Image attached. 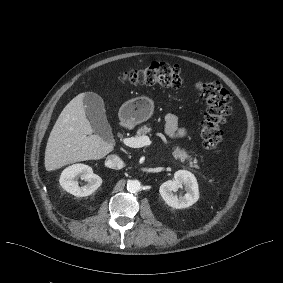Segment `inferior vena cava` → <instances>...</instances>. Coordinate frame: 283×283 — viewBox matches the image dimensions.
Returning a JSON list of instances; mask_svg holds the SVG:
<instances>
[{"mask_svg":"<svg viewBox=\"0 0 283 283\" xmlns=\"http://www.w3.org/2000/svg\"><path fill=\"white\" fill-rule=\"evenodd\" d=\"M106 165L112 169H120L123 166V162L119 156L112 154L106 158Z\"/></svg>","mask_w":283,"mask_h":283,"instance_id":"obj_1","label":"inferior vena cava"}]
</instances>
